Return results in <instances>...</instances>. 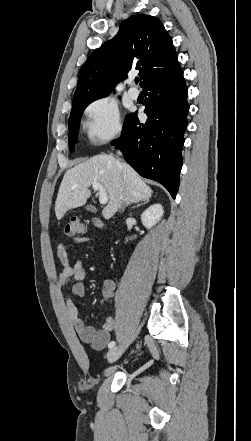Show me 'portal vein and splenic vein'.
Listing matches in <instances>:
<instances>
[{
  "instance_id": "1",
  "label": "portal vein and splenic vein",
  "mask_w": 251,
  "mask_h": 441,
  "mask_svg": "<svg viewBox=\"0 0 251 441\" xmlns=\"http://www.w3.org/2000/svg\"><path fill=\"white\" fill-rule=\"evenodd\" d=\"M92 188L98 192L100 204H107L108 195L105 188L99 182L92 183Z\"/></svg>"
}]
</instances>
